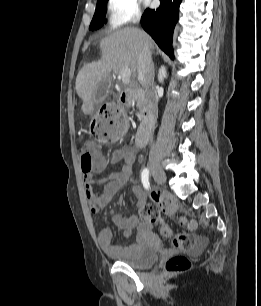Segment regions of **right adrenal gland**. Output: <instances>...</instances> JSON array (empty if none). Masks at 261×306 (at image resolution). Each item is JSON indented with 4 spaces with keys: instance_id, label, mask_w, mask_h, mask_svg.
<instances>
[{
    "instance_id": "obj_1",
    "label": "right adrenal gland",
    "mask_w": 261,
    "mask_h": 306,
    "mask_svg": "<svg viewBox=\"0 0 261 306\" xmlns=\"http://www.w3.org/2000/svg\"><path fill=\"white\" fill-rule=\"evenodd\" d=\"M152 68H153V71H154V63H152Z\"/></svg>"
}]
</instances>
